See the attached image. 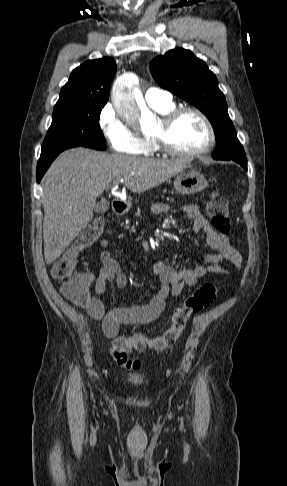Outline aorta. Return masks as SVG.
<instances>
[{
    "label": "aorta",
    "instance_id": "obj_1",
    "mask_svg": "<svg viewBox=\"0 0 287 486\" xmlns=\"http://www.w3.org/2000/svg\"><path fill=\"white\" fill-rule=\"evenodd\" d=\"M112 102L119 116L127 123H139L142 129L155 125V115L140 98L138 87L131 85L127 77H121L114 83Z\"/></svg>",
    "mask_w": 287,
    "mask_h": 486
}]
</instances>
